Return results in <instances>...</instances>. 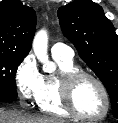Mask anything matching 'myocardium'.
Instances as JSON below:
<instances>
[{"mask_svg": "<svg viewBox=\"0 0 118 123\" xmlns=\"http://www.w3.org/2000/svg\"><path fill=\"white\" fill-rule=\"evenodd\" d=\"M85 78H89L92 81H94L98 85L104 96L105 109L104 112L99 116L91 117L82 114L77 109L74 103L73 100L74 88L80 80ZM58 85H59V94H60L61 103L63 107L70 113V115H73L74 117L80 120L94 122L104 119L109 114L110 107H111L110 95L103 81L100 78H98L96 75L84 70L67 71L59 76Z\"/></svg>", "mask_w": 118, "mask_h": 123, "instance_id": "obj_1", "label": "myocardium"}]
</instances>
